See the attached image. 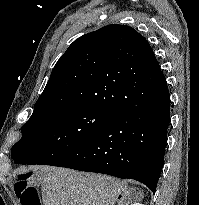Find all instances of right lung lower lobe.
<instances>
[{"label":"right lung lower lobe","instance_id":"98d812e1","mask_svg":"<svg viewBox=\"0 0 199 205\" xmlns=\"http://www.w3.org/2000/svg\"><path fill=\"white\" fill-rule=\"evenodd\" d=\"M148 85H138L146 91L143 96L116 112L93 139L49 165L134 179L156 190L164 164L170 94L163 73L155 86Z\"/></svg>","mask_w":199,"mask_h":205}]
</instances>
